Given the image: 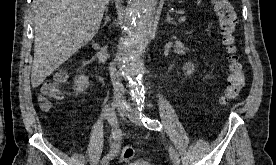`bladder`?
<instances>
[{
    "label": "bladder",
    "instance_id": "31cf9c89",
    "mask_svg": "<svg viewBox=\"0 0 276 165\" xmlns=\"http://www.w3.org/2000/svg\"><path fill=\"white\" fill-rule=\"evenodd\" d=\"M128 165H152V164H150L149 162L144 161V160H134V161L128 163Z\"/></svg>",
    "mask_w": 276,
    "mask_h": 165
}]
</instances>
